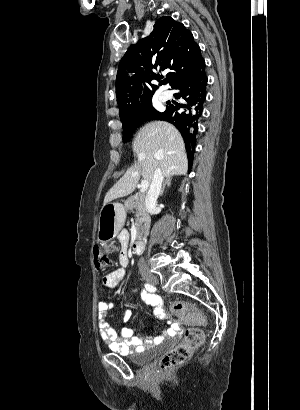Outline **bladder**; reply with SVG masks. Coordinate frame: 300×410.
<instances>
[{
    "label": "bladder",
    "mask_w": 300,
    "mask_h": 410,
    "mask_svg": "<svg viewBox=\"0 0 300 410\" xmlns=\"http://www.w3.org/2000/svg\"><path fill=\"white\" fill-rule=\"evenodd\" d=\"M165 342H167V340ZM153 354H154V351L150 349V350L145 351L142 354L131 355L128 358L132 363L136 365H143L151 360Z\"/></svg>",
    "instance_id": "31cf9c89"
}]
</instances>
